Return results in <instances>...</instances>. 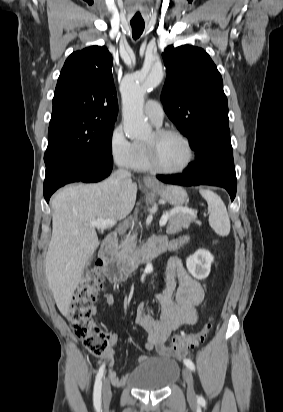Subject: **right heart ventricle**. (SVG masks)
Masks as SVG:
<instances>
[{
    "label": "right heart ventricle",
    "instance_id": "e07e8e85",
    "mask_svg": "<svg viewBox=\"0 0 283 412\" xmlns=\"http://www.w3.org/2000/svg\"><path fill=\"white\" fill-rule=\"evenodd\" d=\"M130 167L136 171L151 170L146 158V152L143 143H135V157Z\"/></svg>",
    "mask_w": 283,
    "mask_h": 412
}]
</instances>
